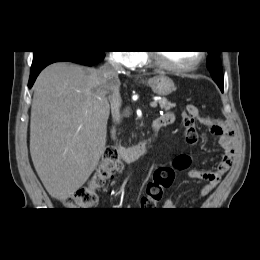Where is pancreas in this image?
I'll use <instances>...</instances> for the list:
<instances>
[{
    "label": "pancreas",
    "mask_w": 260,
    "mask_h": 260,
    "mask_svg": "<svg viewBox=\"0 0 260 260\" xmlns=\"http://www.w3.org/2000/svg\"><path fill=\"white\" fill-rule=\"evenodd\" d=\"M158 103L160 104L161 109H163L165 111H169L170 109L175 107V103L169 102L166 98H163V99L159 100ZM124 115L128 116L129 115V111H126L124 113Z\"/></svg>",
    "instance_id": "pancreas-1"
}]
</instances>
